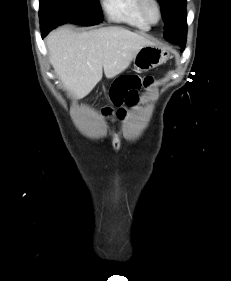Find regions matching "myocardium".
Instances as JSON below:
<instances>
[{"label":"myocardium","mask_w":231,"mask_h":281,"mask_svg":"<svg viewBox=\"0 0 231 281\" xmlns=\"http://www.w3.org/2000/svg\"><path fill=\"white\" fill-rule=\"evenodd\" d=\"M140 10L143 18L147 23L151 25L158 24L162 19V7L158 0H139ZM150 8H153L156 12V17H152L150 14Z\"/></svg>","instance_id":"obj_1"}]
</instances>
